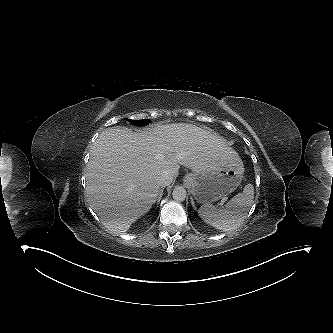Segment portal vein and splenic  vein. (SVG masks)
<instances>
[{"instance_id":"portal-vein-and-splenic-vein-1","label":"portal vein and splenic vein","mask_w":333,"mask_h":333,"mask_svg":"<svg viewBox=\"0 0 333 333\" xmlns=\"http://www.w3.org/2000/svg\"><path fill=\"white\" fill-rule=\"evenodd\" d=\"M225 201H221L220 205H223Z\"/></svg>"}]
</instances>
